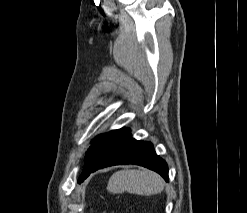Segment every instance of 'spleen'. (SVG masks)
Here are the masks:
<instances>
[{"instance_id":"obj_1","label":"spleen","mask_w":247,"mask_h":213,"mask_svg":"<svg viewBox=\"0 0 247 213\" xmlns=\"http://www.w3.org/2000/svg\"><path fill=\"white\" fill-rule=\"evenodd\" d=\"M107 189L111 193L149 196L160 193L164 189V181L150 170H121L110 177Z\"/></svg>"}]
</instances>
